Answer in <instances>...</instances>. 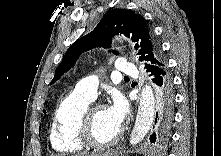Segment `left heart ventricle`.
Segmentation results:
<instances>
[{"label": "left heart ventricle", "mask_w": 221, "mask_h": 156, "mask_svg": "<svg viewBox=\"0 0 221 156\" xmlns=\"http://www.w3.org/2000/svg\"><path fill=\"white\" fill-rule=\"evenodd\" d=\"M118 128L109 120L106 108L97 107L93 112L92 135L99 142H106L116 135Z\"/></svg>", "instance_id": "1"}]
</instances>
